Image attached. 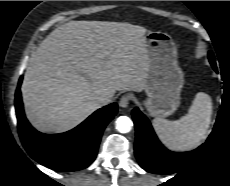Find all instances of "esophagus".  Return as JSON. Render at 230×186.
Instances as JSON below:
<instances>
[{
	"label": "esophagus",
	"instance_id": "34e87169",
	"mask_svg": "<svg viewBox=\"0 0 230 186\" xmlns=\"http://www.w3.org/2000/svg\"><path fill=\"white\" fill-rule=\"evenodd\" d=\"M129 102H130V96H128V95H123V96L120 98L119 106L122 107V108H126V107L129 105Z\"/></svg>",
	"mask_w": 230,
	"mask_h": 186
}]
</instances>
